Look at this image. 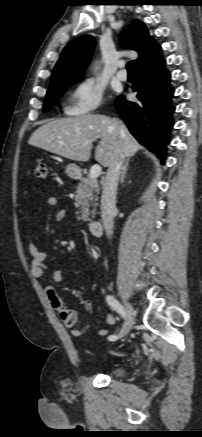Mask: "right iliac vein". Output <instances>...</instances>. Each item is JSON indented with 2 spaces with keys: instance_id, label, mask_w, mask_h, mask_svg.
I'll return each mask as SVG.
<instances>
[{
  "instance_id": "1",
  "label": "right iliac vein",
  "mask_w": 202,
  "mask_h": 437,
  "mask_svg": "<svg viewBox=\"0 0 202 437\" xmlns=\"http://www.w3.org/2000/svg\"><path fill=\"white\" fill-rule=\"evenodd\" d=\"M125 309H126V319L119 332L120 338L124 337L130 331L135 318V312L132 306L128 302L125 303Z\"/></svg>"
}]
</instances>
